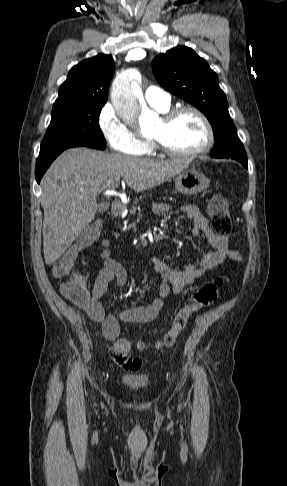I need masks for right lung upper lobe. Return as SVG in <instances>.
Masks as SVG:
<instances>
[{"mask_svg": "<svg viewBox=\"0 0 287 486\" xmlns=\"http://www.w3.org/2000/svg\"><path fill=\"white\" fill-rule=\"evenodd\" d=\"M114 70L111 55L99 54L81 61L69 71L53 106L85 101L106 103Z\"/></svg>", "mask_w": 287, "mask_h": 486, "instance_id": "obj_1", "label": "right lung upper lobe"}]
</instances>
